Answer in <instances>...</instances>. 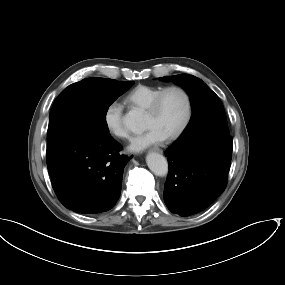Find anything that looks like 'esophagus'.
<instances>
[{"label": "esophagus", "instance_id": "34e87169", "mask_svg": "<svg viewBox=\"0 0 285 285\" xmlns=\"http://www.w3.org/2000/svg\"><path fill=\"white\" fill-rule=\"evenodd\" d=\"M152 150H153V151H156V152H158V153H162V152H163V150L160 149V148H158V147H153Z\"/></svg>", "mask_w": 285, "mask_h": 285}]
</instances>
